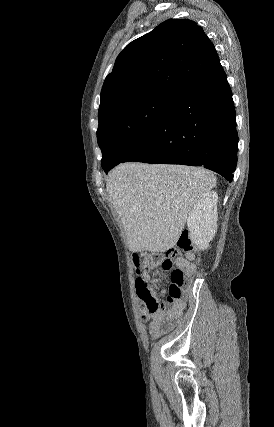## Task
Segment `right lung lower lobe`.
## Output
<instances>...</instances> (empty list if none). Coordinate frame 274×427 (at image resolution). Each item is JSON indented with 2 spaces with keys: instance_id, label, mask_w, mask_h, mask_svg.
I'll return each mask as SVG.
<instances>
[{
  "instance_id": "1",
  "label": "right lung lower lobe",
  "mask_w": 274,
  "mask_h": 427,
  "mask_svg": "<svg viewBox=\"0 0 274 427\" xmlns=\"http://www.w3.org/2000/svg\"><path fill=\"white\" fill-rule=\"evenodd\" d=\"M235 115L222 70L176 97L154 129L120 162L204 166L231 182L238 148ZM119 163L103 169L107 173Z\"/></svg>"
}]
</instances>
